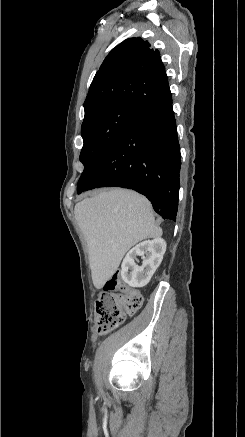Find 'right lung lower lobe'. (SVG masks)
<instances>
[{"mask_svg": "<svg viewBox=\"0 0 245 437\" xmlns=\"http://www.w3.org/2000/svg\"><path fill=\"white\" fill-rule=\"evenodd\" d=\"M181 166L172 96L142 105L77 191L123 187L145 195L163 219L175 221Z\"/></svg>", "mask_w": 245, "mask_h": 437, "instance_id": "98d812e1", "label": "right lung lower lobe"}]
</instances>
